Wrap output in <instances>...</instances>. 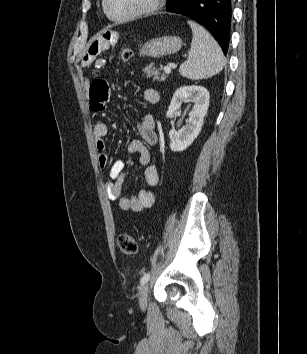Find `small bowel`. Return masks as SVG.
I'll list each match as a JSON object with an SVG mask.
<instances>
[{"label":"small bowel","mask_w":307,"mask_h":354,"mask_svg":"<svg viewBox=\"0 0 307 354\" xmlns=\"http://www.w3.org/2000/svg\"><path fill=\"white\" fill-rule=\"evenodd\" d=\"M118 41V33L114 30H108L102 36L92 42L82 57L81 68L87 69L94 63L103 65L101 59H97L98 54L109 47L114 46ZM86 88L90 95L91 108L94 111L105 109L108 99V85L102 79H96L86 82ZM143 101L147 104H155L159 100V93L154 89H146L142 94ZM108 125L105 122H97L93 128V135L98 151V161L101 168L108 164L106 154V144L104 138L108 135ZM138 131L142 140H133L128 146L129 154H139V161L145 166L144 176L146 183L150 188L142 189L135 197H127L123 194V183L127 175V164L123 160H116L111 164L109 176L111 180L105 183L108 197L111 200H117L120 209L124 211L141 212L151 207L155 202V193L151 189L159 183L158 169L150 165V154L145 144L153 145L158 141V135L155 127V120L151 114H145L139 124Z\"/></svg>","instance_id":"small-bowel-1"}]
</instances>
